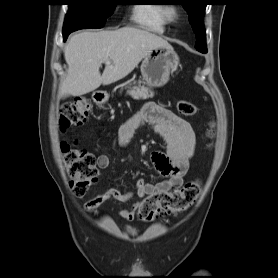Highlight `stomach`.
Returning a JSON list of instances; mask_svg holds the SVG:
<instances>
[{
  "mask_svg": "<svg viewBox=\"0 0 278 278\" xmlns=\"http://www.w3.org/2000/svg\"><path fill=\"white\" fill-rule=\"evenodd\" d=\"M180 65V59L170 47H156L143 58L141 74L148 86L161 87L165 85Z\"/></svg>",
  "mask_w": 278,
  "mask_h": 278,
  "instance_id": "0dacf381",
  "label": "stomach"
}]
</instances>
